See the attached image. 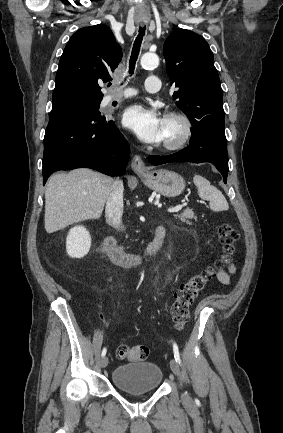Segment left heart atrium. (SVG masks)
<instances>
[{
  "mask_svg": "<svg viewBox=\"0 0 283 433\" xmlns=\"http://www.w3.org/2000/svg\"><path fill=\"white\" fill-rule=\"evenodd\" d=\"M157 109L136 104L127 108L123 114L124 125L147 145L157 146L165 140L164 118Z\"/></svg>",
  "mask_w": 283,
  "mask_h": 433,
  "instance_id": "left-heart-atrium-1",
  "label": "left heart atrium"
}]
</instances>
